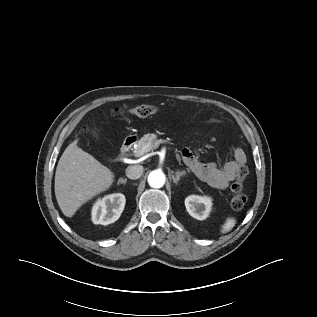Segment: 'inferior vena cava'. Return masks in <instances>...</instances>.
I'll return each mask as SVG.
<instances>
[{
    "label": "inferior vena cava",
    "mask_w": 317,
    "mask_h": 317,
    "mask_svg": "<svg viewBox=\"0 0 317 317\" xmlns=\"http://www.w3.org/2000/svg\"><path fill=\"white\" fill-rule=\"evenodd\" d=\"M143 174V166L141 165H131L126 168V176L129 179L136 180Z\"/></svg>",
    "instance_id": "1"
}]
</instances>
